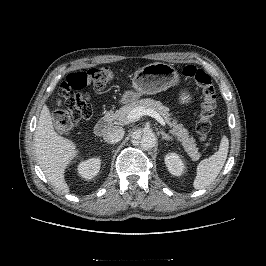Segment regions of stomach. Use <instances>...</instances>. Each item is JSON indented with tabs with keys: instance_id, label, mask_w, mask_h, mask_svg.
<instances>
[{
	"instance_id": "0dacf381",
	"label": "stomach",
	"mask_w": 266,
	"mask_h": 266,
	"mask_svg": "<svg viewBox=\"0 0 266 266\" xmlns=\"http://www.w3.org/2000/svg\"><path fill=\"white\" fill-rule=\"evenodd\" d=\"M180 82L179 74L172 65L162 62L148 64L138 69L133 78V91H125L121 101L132 102L142 95H153L170 87L177 86ZM192 95L187 90H182L179 94L181 104H189Z\"/></svg>"
}]
</instances>
